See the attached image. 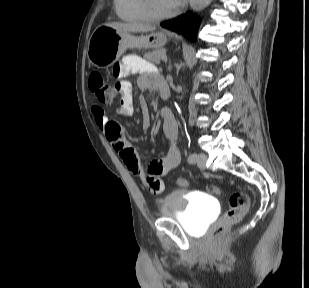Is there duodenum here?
<instances>
[{
    "label": "duodenum",
    "mask_w": 309,
    "mask_h": 288,
    "mask_svg": "<svg viewBox=\"0 0 309 288\" xmlns=\"http://www.w3.org/2000/svg\"><path fill=\"white\" fill-rule=\"evenodd\" d=\"M159 89L161 91L162 97L167 99L169 97V90H168V86H167V84H166V82L164 80L161 83Z\"/></svg>",
    "instance_id": "1"
}]
</instances>
